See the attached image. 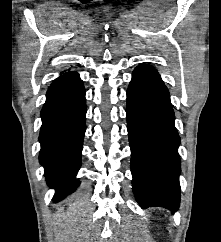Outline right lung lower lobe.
Instances as JSON below:
<instances>
[{
  "instance_id": "obj_1",
  "label": "right lung lower lobe",
  "mask_w": 221,
  "mask_h": 242,
  "mask_svg": "<svg viewBox=\"0 0 221 242\" xmlns=\"http://www.w3.org/2000/svg\"><path fill=\"white\" fill-rule=\"evenodd\" d=\"M85 89L79 74L67 72L53 81L41 110L40 163L59 201L74 191L81 165L85 126Z\"/></svg>"
}]
</instances>
